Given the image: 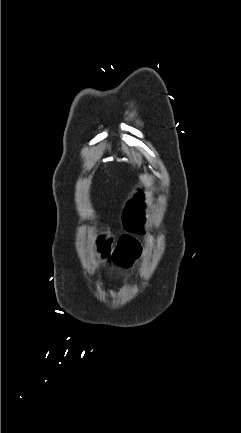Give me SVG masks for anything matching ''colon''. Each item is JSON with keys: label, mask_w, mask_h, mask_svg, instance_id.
I'll return each instance as SVG.
<instances>
[{"label": "colon", "mask_w": 241, "mask_h": 433, "mask_svg": "<svg viewBox=\"0 0 241 433\" xmlns=\"http://www.w3.org/2000/svg\"><path fill=\"white\" fill-rule=\"evenodd\" d=\"M137 187L142 194H145L150 184L148 181H139ZM126 192V201L122 203L124 207L122 223L124 226L140 228L142 226L140 221H144L146 218L142 209L149 208V201L140 193L131 195L133 192L131 187H128ZM89 217L91 221H98L101 215L98 212H91ZM97 237L101 239L97 245V250L104 252L107 261H112L114 257H117L118 261L126 266L132 261L134 252L140 250L139 241L135 239L134 234H123L122 230H112L111 225H100ZM98 267L104 269L101 264H98ZM107 267H111V264H107Z\"/></svg>", "instance_id": "1"}]
</instances>
